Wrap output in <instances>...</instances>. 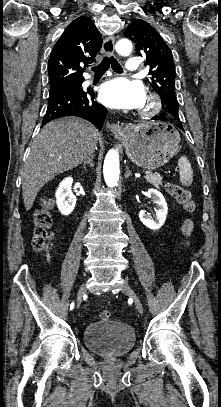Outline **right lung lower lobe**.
Masks as SVG:
<instances>
[{"label":"right lung lower lobe","instance_id":"obj_1","mask_svg":"<svg viewBox=\"0 0 221 407\" xmlns=\"http://www.w3.org/2000/svg\"><path fill=\"white\" fill-rule=\"evenodd\" d=\"M82 82L80 85L63 87L49 93L42 126L60 117L77 116L90 121L99 130L102 129L107 109L94 101L93 91L81 88Z\"/></svg>","mask_w":221,"mask_h":407}]
</instances>
